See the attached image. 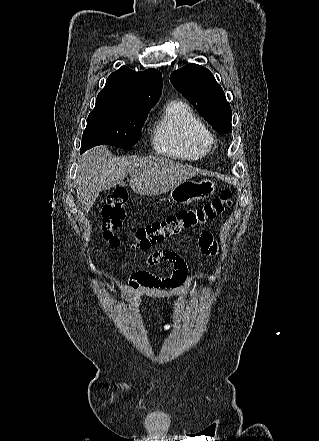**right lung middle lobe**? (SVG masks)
<instances>
[{"label":"right lung middle lobe","mask_w":319,"mask_h":441,"mask_svg":"<svg viewBox=\"0 0 319 441\" xmlns=\"http://www.w3.org/2000/svg\"><path fill=\"white\" fill-rule=\"evenodd\" d=\"M152 107H95L89 114L80 152L101 144L131 149Z\"/></svg>","instance_id":"right-lung-middle-lobe-1"}]
</instances>
